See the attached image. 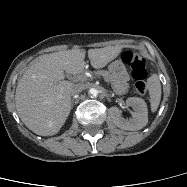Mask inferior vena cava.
I'll return each mask as SVG.
<instances>
[{"label":"inferior vena cava","instance_id":"inferior-vena-cava-1","mask_svg":"<svg viewBox=\"0 0 187 187\" xmlns=\"http://www.w3.org/2000/svg\"><path fill=\"white\" fill-rule=\"evenodd\" d=\"M84 89L82 84H75L71 89V95L75 96Z\"/></svg>","mask_w":187,"mask_h":187}]
</instances>
